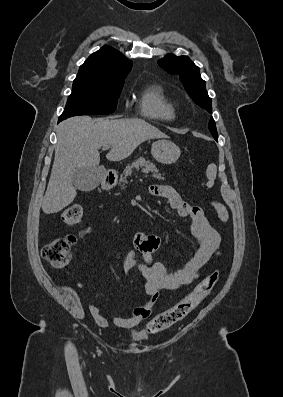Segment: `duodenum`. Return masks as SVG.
Masks as SVG:
<instances>
[{"mask_svg": "<svg viewBox=\"0 0 283 397\" xmlns=\"http://www.w3.org/2000/svg\"><path fill=\"white\" fill-rule=\"evenodd\" d=\"M114 182H115V179H114L112 176H108V177H106L105 180L103 181L102 187H103L104 189H110V188L113 187Z\"/></svg>", "mask_w": 283, "mask_h": 397, "instance_id": "duodenum-1", "label": "duodenum"}]
</instances>
